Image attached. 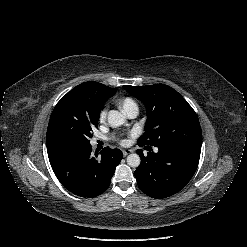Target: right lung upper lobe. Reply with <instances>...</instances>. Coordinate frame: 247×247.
Returning a JSON list of instances; mask_svg holds the SVG:
<instances>
[{
    "label": "right lung upper lobe",
    "mask_w": 247,
    "mask_h": 247,
    "mask_svg": "<svg viewBox=\"0 0 247 247\" xmlns=\"http://www.w3.org/2000/svg\"><path fill=\"white\" fill-rule=\"evenodd\" d=\"M116 92L115 88H110L95 81L84 82L63 96L64 99H75L87 101L93 106L101 109L103 103ZM58 149L55 145H47V151Z\"/></svg>",
    "instance_id": "cb5924a9"
}]
</instances>
